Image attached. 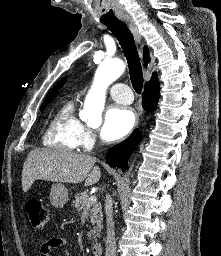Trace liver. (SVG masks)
Segmentation results:
<instances>
[{
	"mask_svg": "<svg viewBox=\"0 0 221 256\" xmlns=\"http://www.w3.org/2000/svg\"><path fill=\"white\" fill-rule=\"evenodd\" d=\"M96 159L85 154L62 149H35L31 151L22 170V188L26 193L36 180L62 183H97L101 178Z\"/></svg>",
	"mask_w": 221,
	"mask_h": 256,
	"instance_id": "liver-1",
	"label": "liver"
}]
</instances>
